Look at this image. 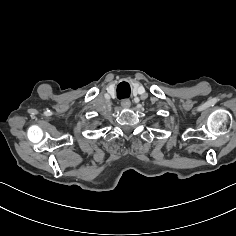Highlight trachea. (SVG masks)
<instances>
[{
  "mask_svg": "<svg viewBox=\"0 0 236 236\" xmlns=\"http://www.w3.org/2000/svg\"><path fill=\"white\" fill-rule=\"evenodd\" d=\"M130 96V86L127 82H121L117 86V97L119 99L128 98Z\"/></svg>",
  "mask_w": 236,
  "mask_h": 236,
  "instance_id": "obj_1",
  "label": "trachea"
}]
</instances>
